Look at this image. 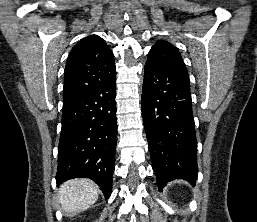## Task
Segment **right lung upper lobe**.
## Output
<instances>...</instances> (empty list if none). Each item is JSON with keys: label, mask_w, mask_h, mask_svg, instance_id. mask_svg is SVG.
Instances as JSON below:
<instances>
[{"label": "right lung upper lobe", "mask_w": 257, "mask_h": 222, "mask_svg": "<svg viewBox=\"0 0 257 222\" xmlns=\"http://www.w3.org/2000/svg\"><path fill=\"white\" fill-rule=\"evenodd\" d=\"M114 55L97 35L80 40L71 50L64 72L63 102L104 82L115 72Z\"/></svg>", "instance_id": "obj_1"}]
</instances>
